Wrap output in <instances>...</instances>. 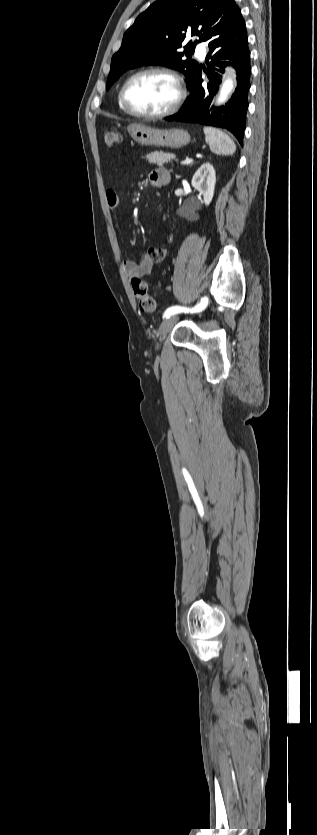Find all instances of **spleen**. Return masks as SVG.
<instances>
[{"instance_id":"3e777b00","label":"spleen","mask_w":317,"mask_h":835,"mask_svg":"<svg viewBox=\"0 0 317 835\" xmlns=\"http://www.w3.org/2000/svg\"><path fill=\"white\" fill-rule=\"evenodd\" d=\"M205 141L210 150L218 155H232L236 150L233 140L222 130L214 127H204Z\"/></svg>"}]
</instances>
